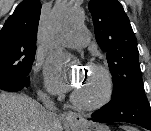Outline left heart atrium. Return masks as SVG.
<instances>
[{"label": "left heart atrium", "instance_id": "39dd6f15", "mask_svg": "<svg viewBox=\"0 0 151 131\" xmlns=\"http://www.w3.org/2000/svg\"><path fill=\"white\" fill-rule=\"evenodd\" d=\"M78 74L72 72L61 57L52 58L47 69L48 87L52 92L62 93L74 89Z\"/></svg>", "mask_w": 151, "mask_h": 131}]
</instances>
